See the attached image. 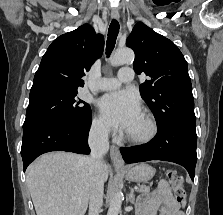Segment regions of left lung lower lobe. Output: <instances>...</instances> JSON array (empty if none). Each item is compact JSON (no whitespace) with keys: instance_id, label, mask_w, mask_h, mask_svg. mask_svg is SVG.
I'll return each mask as SVG.
<instances>
[{"instance_id":"left-lung-lower-lobe-1","label":"left lung lower lobe","mask_w":223,"mask_h":215,"mask_svg":"<svg viewBox=\"0 0 223 215\" xmlns=\"http://www.w3.org/2000/svg\"><path fill=\"white\" fill-rule=\"evenodd\" d=\"M196 144L195 125L176 123L158 128L156 136L147 144L120 150L126 163L163 160L180 164L194 181Z\"/></svg>"}]
</instances>
